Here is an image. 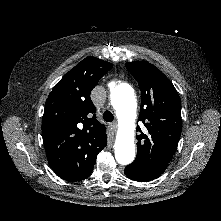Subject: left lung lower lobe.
<instances>
[{"label": "left lung lower lobe", "instance_id": "1", "mask_svg": "<svg viewBox=\"0 0 221 221\" xmlns=\"http://www.w3.org/2000/svg\"><path fill=\"white\" fill-rule=\"evenodd\" d=\"M124 173L128 178L132 180L145 182L157 178L163 173V171L141 172L126 166Z\"/></svg>", "mask_w": 221, "mask_h": 221}]
</instances>
